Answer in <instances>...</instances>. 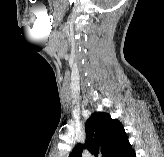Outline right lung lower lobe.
I'll return each instance as SVG.
<instances>
[{
	"label": "right lung lower lobe",
	"mask_w": 164,
	"mask_h": 157,
	"mask_svg": "<svg viewBox=\"0 0 164 157\" xmlns=\"http://www.w3.org/2000/svg\"><path fill=\"white\" fill-rule=\"evenodd\" d=\"M116 157H136L129 141L127 140L122 149L119 151Z\"/></svg>",
	"instance_id": "98d812e1"
}]
</instances>
